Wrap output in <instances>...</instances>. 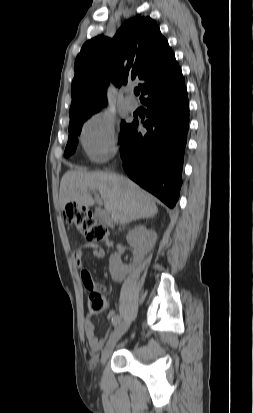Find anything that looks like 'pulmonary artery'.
Returning <instances> with one entry per match:
<instances>
[{
    "mask_svg": "<svg viewBox=\"0 0 253 413\" xmlns=\"http://www.w3.org/2000/svg\"><path fill=\"white\" fill-rule=\"evenodd\" d=\"M123 105L130 111H134L138 107V102L131 97L130 95H126L123 99Z\"/></svg>",
    "mask_w": 253,
    "mask_h": 413,
    "instance_id": "obj_1",
    "label": "pulmonary artery"
}]
</instances>
